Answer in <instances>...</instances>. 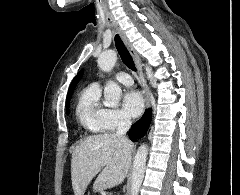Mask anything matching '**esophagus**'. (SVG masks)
<instances>
[{"label":"esophagus","instance_id":"obj_1","mask_svg":"<svg viewBox=\"0 0 240 195\" xmlns=\"http://www.w3.org/2000/svg\"><path fill=\"white\" fill-rule=\"evenodd\" d=\"M112 26L119 33L121 39L125 43L129 52L131 53V56L133 57V60L135 62V65H136L138 73H139V77H140V79H141V81L143 82V85H144L145 98H146V109H148V108H150V93H149L148 87H147V85L145 83V80H144V75H143V71H142V65H141V62H140V58L137 55L135 49L133 48L132 44L130 43L129 39L127 38V36H126L125 32L122 30V28L119 25H116V24H113Z\"/></svg>","mask_w":240,"mask_h":195}]
</instances>
